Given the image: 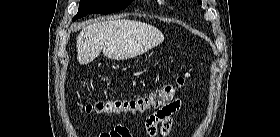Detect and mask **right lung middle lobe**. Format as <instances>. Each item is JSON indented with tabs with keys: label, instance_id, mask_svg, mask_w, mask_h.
I'll use <instances>...</instances> for the list:
<instances>
[{
	"label": "right lung middle lobe",
	"instance_id": "dd1d6c3e",
	"mask_svg": "<svg viewBox=\"0 0 280 137\" xmlns=\"http://www.w3.org/2000/svg\"><path fill=\"white\" fill-rule=\"evenodd\" d=\"M133 0H80L79 11L73 20L87 14H109L120 11Z\"/></svg>",
	"mask_w": 280,
	"mask_h": 137
}]
</instances>
